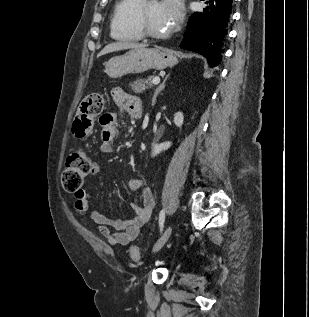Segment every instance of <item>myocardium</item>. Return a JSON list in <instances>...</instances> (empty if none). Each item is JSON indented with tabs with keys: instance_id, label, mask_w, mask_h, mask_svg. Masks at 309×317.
<instances>
[{
	"instance_id": "obj_1",
	"label": "myocardium",
	"mask_w": 309,
	"mask_h": 317,
	"mask_svg": "<svg viewBox=\"0 0 309 317\" xmlns=\"http://www.w3.org/2000/svg\"><path fill=\"white\" fill-rule=\"evenodd\" d=\"M146 6L147 3H144L140 6L139 11H138V27L140 31L142 32L143 36L153 38V39H164L169 37L172 34V30L166 32V33H156L153 32L149 26L147 25V20H146Z\"/></svg>"
}]
</instances>
